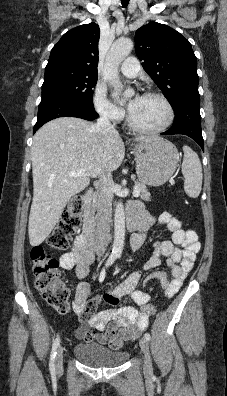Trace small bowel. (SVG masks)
I'll return each instance as SVG.
<instances>
[{"label":"small bowel","mask_w":227,"mask_h":396,"mask_svg":"<svg viewBox=\"0 0 227 396\" xmlns=\"http://www.w3.org/2000/svg\"><path fill=\"white\" fill-rule=\"evenodd\" d=\"M128 212L137 217V232L131 238L133 251L143 247L147 232L156 224L165 226L172 234L171 240L154 243L153 255L144 265L143 270H153L163 257L166 258V263L170 267V276L163 271H154L146 277L145 284L158 283L165 296H173L179 291L200 251L201 244L196 232L192 229H184L180 220L169 212H163L155 218L145 212L138 202L132 203ZM93 261L94 253L87 247L82 235L77 236L72 249L60 257L61 267L65 270L75 269L80 280L88 275ZM141 276L140 270L132 272L124 281L110 287L104 295V300L116 305L122 298L129 297L135 305L144 306L149 302L150 296L147 292L136 289ZM89 294V284L81 281L76 286L73 300L74 311L84 320L76 330L79 339L86 342L95 341L118 350L125 341L135 340L147 329L149 320L145 312L134 306H122L96 313L100 300L98 298L88 300Z\"/></svg>","instance_id":"small-bowel-1"}]
</instances>
